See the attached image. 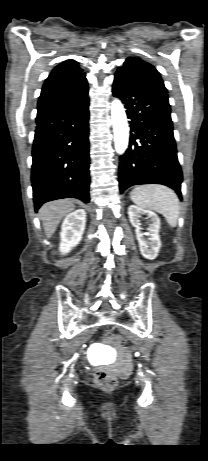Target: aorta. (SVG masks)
<instances>
[{
    "label": "aorta",
    "mask_w": 208,
    "mask_h": 461,
    "mask_svg": "<svg viewBox=\"0 0 208 461\" xmlns=\"http://www.w3.org/2000/svg\"><path fill=\"white\" fill-rule=\"evenodd\" d=\"M111 118L114 131L115 150L118 154H123L129 142V127L125 109L119 99H114L111 103Z\"/></svg>",
    "instance_id": "obj_1"
}]
</instances>
